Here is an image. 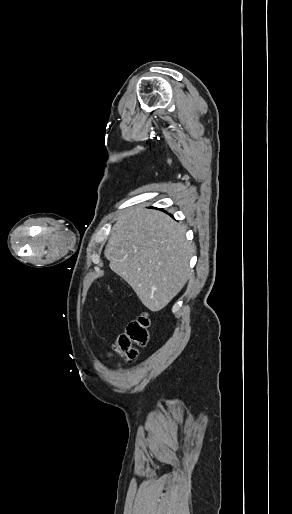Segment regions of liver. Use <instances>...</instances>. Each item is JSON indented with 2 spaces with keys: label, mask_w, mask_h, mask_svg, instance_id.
Masks as SVG:
<instances>
[{
  "label": "liver",
  "mask_w": 292,
  "mask_h": 514,
  "mask_svg": "<svg viewBox=\"0 0 292 514\" xmlns=\"http://www.w3.org/2000/svg\"><path fill=\"white\" fill-rule=\"evenodd\" d=\"M194 254L183 226L155 210L121 214L105 250L110 268L151 312L163 310L184 288Z\"/></svg>",
  "instance_id": "1"
}]
</instances>
